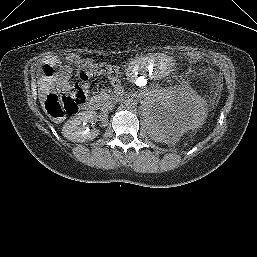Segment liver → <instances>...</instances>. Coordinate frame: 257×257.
Returning a JSON list of instances; mask_svg holds the SVG:
<instances>
[{
	"mask_svg": "<svg viewBox=\"0 0 257 257\" xmlns=\"http://www.w3.org/2000/svg\"><path fill=\"white\" fill-rule=\"evenodd\" d=\"M53 79L47 78L45 76H41L38 78V86H39V92L41 99L44 98L50 87L52 86ZM58 122V121H55Z\"/></svg>",
	"mask_w": 257,
	"mask_h": 257,
	"instance_id": "6515ba94",
	"label": "liver"
}]
</instances>
